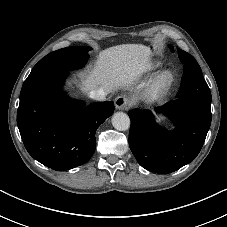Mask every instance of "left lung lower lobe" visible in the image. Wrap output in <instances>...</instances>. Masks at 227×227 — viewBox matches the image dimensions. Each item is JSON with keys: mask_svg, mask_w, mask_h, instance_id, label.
<instances>
[{"mask_svg": "<svg viewBox=\"0 0 227 227\" xmlns=\"http://www.w3.org/2000/svg\"><path fill=\"white\" fill-rule=\"evenodd\" d=\"M211 102L176 99L156 112L173 120L176 129H162L149 110L133 109L129 146L138 163L155 173H171L193 161L199 154L211 124Z\"/></svg>", "mask_w": 227, "mask_h": 227, "instance_id": "0a47b994", "label": "left lung lower lobe"}]
</instances>
